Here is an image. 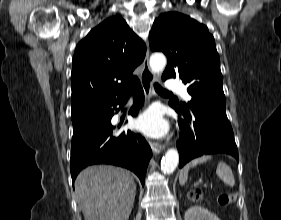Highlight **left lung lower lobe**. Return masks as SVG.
<instances>
[{
	"mask_svg": "<svg viewBox=\"0 0 281 220\" xmlns=\"http://www.w3.org/2000/svg\"><path fill=\"white\" fill-rule=\"evenodd\" d=\"M170 105L180 115L177 120L180 130V140L177 142L180 168L205 154L226 153L238 160V150L225 107L208 104L189 111L182 106L177 108Z\"/></svg>",
	"mask_w": 281,
	"mask_h": 220,
	"instance_id": "obj_1",
	"label": "left lung lower lobe"
}]
</instances>
